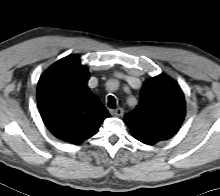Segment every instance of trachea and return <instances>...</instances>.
<instances>
[{
  "instance_id": "1",
  "label": "trachea",
  "mask_w": 220,
  "mask_h": 196,
  "mask_svg": "<svg viewBox=\"0 0 220 196\" xmlns=\"http://www.w3.org/2000/svg\"><path fill=\"white\" fill-rule=\"evenodd\" d=\"M108 107L111 109L116 107V100L113 96H108Z\"/></svg>"
}]
</instances>
